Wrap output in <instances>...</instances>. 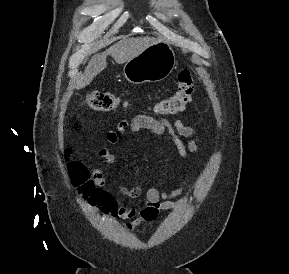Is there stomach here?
Returning <instances> with one entry per match:
<instances>
[{
    "label": "stomach",
    "instance_id": "0dacf381",
    "mask_svg": "<svg viewBox=\"0 0 289 274\" xmlns=\"http://www.w3.org/2000/svg\"><path fill=\"white\" fill-rule=\"evenodd\" d=\"M176 65L175 54L166 41H158L126 62L123 75L134 84L159 82L170 75Z\"/></svg>",
    "mask_w": 289,
    "mask_h": 274
}]
</instances>
